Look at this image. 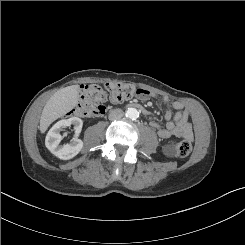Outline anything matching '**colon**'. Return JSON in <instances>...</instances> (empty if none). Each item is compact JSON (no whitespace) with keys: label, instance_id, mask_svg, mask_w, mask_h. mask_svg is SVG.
I'll use <instances>...</instances> for the list:
<instances>
[{"label":"colon","instance_id":"colon-1","mask_svg":"<svg viewBox=\"0 0 245 245\" xmlns=\"http://www.w3.org/2000/svg\"><path fill=\"white\" fill-rule=\"evenodd\" d=\"M141 94H146V91L121 82H109L103 87L96 84L84 85L81 87L79 103L69 115L89 118L100 116L106 111L107 101L117 104ZM174 150L178 157L184 158L191 153L192 144L183 140L174 146Z\"/></svg>","mask_w":245,"mask_h":245}]
</instances>
